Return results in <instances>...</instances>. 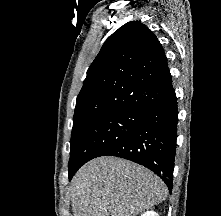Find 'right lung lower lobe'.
<instances>
[{"instance_id": "1", "label": "right lung lower lobe", "mask_w": 221, "mask_h": 216, "mask_svg": "<svg viewBox=\"0 0 221 216\" xmlns=\"http://www.w3.org/2000/svg\"><path fill=\"white\" fill-rule=\"evenodd\" d=\"M178 109L173 87L150 108L127 139L103 156H116L141 164L156 173L172 191V177L177 139ZM81 166L69 170V179Z\"/></svg>"}]
</instances>
